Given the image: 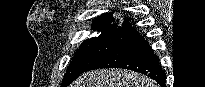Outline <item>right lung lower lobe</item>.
Listing matches in <instances>:
<instances>
[{
    "mask_svg": "<svg viewBox=\"0 0 205 87\" xmlns=\"http://www.w3.org/2000/svg\"><path fill=\"white\" fill-rule=\"evenodd\" d=\"M98 68L130 69L156 80L162 87L166 82V74L159 67L157 56L139 33L95 62L87 71Z\"/></svg>",
    "mask_w": 205,
    "mask_h": 87,
    "instance_id": "right-lung-lower-lobe-1",
    "label": "right lung lower lobe"
}]
</instances>
